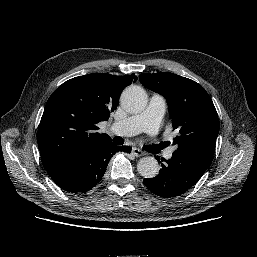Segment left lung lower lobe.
Segmentation results:
<instances>
[{
  "label": "left lung lower lobe",
  "mask_w": 257,
  "mask_h": 257,
  "mask_svg": "<svg viewBox=\"0 0 257 257\" xmlns=\"http://www.w3.org/2000/svg\"><path fill=\"white\" fill-rule=\"evenodd\" d=\"M159 161V157H156ZM163 161V160H161ZM161 162L159 174L151 179H144L143 183L154 194L171 198L183 194L202 177L210 166L191 155L174 151L172 158Z\"/></svg>",
  "instance_id": "obj_1"
}]
</instances>
